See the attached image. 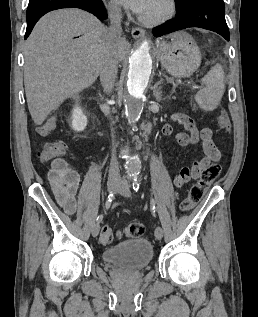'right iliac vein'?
<instances>
[{"mask_svg": "<svg viewBox=\"0 0 258 317\" xmlns=\"http://www.w3.org/2000/svg\"><path fill=\"white\" fill-rule=\"evenodd\" d=\"M120 184H121L120 179H109L107 182V190L109 192H112L117 186H120ZM99 229H100V224L94 223L93 228H92V236L93 237L99 236Z\"/></svg>", "mask_w": 258, "mask_h": 317, "instance_id": "obj_1", "label": "right iliac vein"}]
</instances>
